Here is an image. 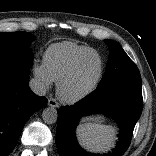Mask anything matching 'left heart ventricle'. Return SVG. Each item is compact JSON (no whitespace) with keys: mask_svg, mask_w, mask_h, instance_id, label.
Returning <instances> with one entry per match:
<instances>
[{"mask_svg":"<svg viewBox=\"0 0 156 156\" xmlns=\"http://www.w3.org/2000/svg\"><path fill=\"white\" fill-rule=\"evenodd\" d=\"M100 69L99 59L95 54L89 55L81 64L70 86L69 94H77L87 89L97 78Z\"/></svg>","mask_w":156,"mask_h":156,"instance_id":"left-heart-ventricle-1","label":"left heart ventricle"}]
</instances>
